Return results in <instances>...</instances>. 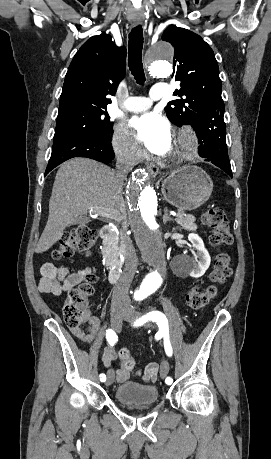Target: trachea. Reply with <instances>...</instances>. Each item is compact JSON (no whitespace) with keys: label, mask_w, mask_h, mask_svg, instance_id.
Wrapping results in <instances>:
<instances>
[{"label":"trachea","mask_w":271,"mask_h":459,"mask_svg":"<svg viewBox=\"0 0 271 459\" xmlns=\"http://www.w3.org/2000/svg\"><path fill=\"white\" fill-rule=\"evenodd\" d=\"M143 29L141 25L133 28L129 34L128 65L130 72L139 85H144L145 74L142 63Z\"/></svg>","instance_id":"1"}]
</instances>
